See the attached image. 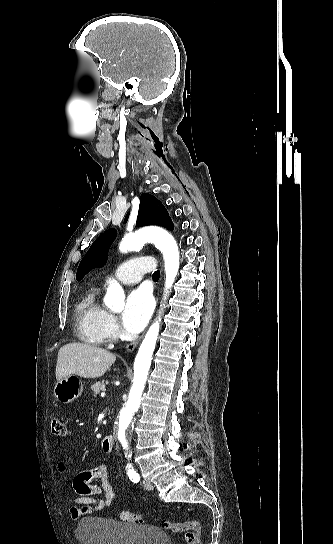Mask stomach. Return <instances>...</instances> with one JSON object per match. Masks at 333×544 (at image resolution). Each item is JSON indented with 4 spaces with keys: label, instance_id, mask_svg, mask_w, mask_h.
<instances>
[{
    "label": "stomach",
    "instance_id": "obj_1",
    "mask_svg": "<svg viewBox=\"0 0 333 544\" xmlns=\"http://www.w3.org/2000/svg\"><path fill=\"white\" fill-rule=\"evenodd\" d=\"M53 392L57 401L68 404L81 396L83 384L76 376H66L56 383Z\"/></svg>",
    "mask_w": 333,
    "mask_h": 544
}]
</instances>
